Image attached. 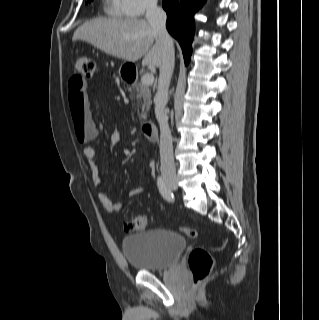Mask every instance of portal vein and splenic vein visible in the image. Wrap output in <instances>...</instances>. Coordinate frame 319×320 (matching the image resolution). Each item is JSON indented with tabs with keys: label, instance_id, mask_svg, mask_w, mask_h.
<instances>
[{
	"label": "portal vein and splenic vein",
	"instance_id": "18ae733b",
	"mask_svg": "<svg viewBox=\"0 0 319 320\" xmlns=\"http://www.w3.org/2000/svg\"><path fill=\"white\" fill-rule=\"evenodd\" d=\"M142 84L144 85H152L154 82V75L152 73H146L142 79H141Z\"/></svg>",
	"mask_w": 319,
	"mask_h": 320
}]
</instances>
